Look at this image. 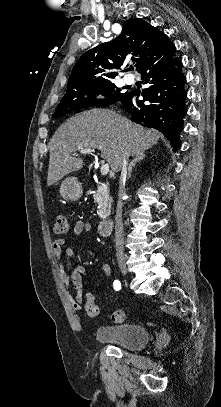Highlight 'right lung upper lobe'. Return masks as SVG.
<instances>
[{"instance_id": "obj_1", "label": "right lung upper lobe", "mask_w": 221, "mask_h": 407, "mask_svg": "<svg viewBox=\"0 0 221 407\" xmlns=\"http://www.w3.org/2000/svg\"><path fill=\"white\" fill-rule=\"evenodd\" d=\"M171 42L146 21L135 18L124 23L122 33L115 40L102 43L84 53L72 69L67 91L93 87L117 76L114 69L130 59L138 72L160 57Z\"/></svg>"}]
</instances>
